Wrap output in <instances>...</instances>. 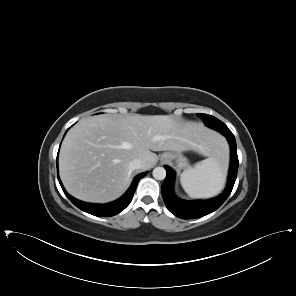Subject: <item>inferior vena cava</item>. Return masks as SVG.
Wrapping results in <instances>:
<instances>
[{"label": "inferior vena cava", "mask_w": 296, "mask_h": 296, "mask_svg": "<svg viewBox=\"0 0 296 296\" xmlns=\"http://www.w3.org/2000/svg\"><path fill=\"white\" fill-rule=\"evenodd\" d=\"M142 160L141 159H134L129 163V169L130 170H136L142 168Z\"/></svg>", "instance_id": "602c4592"}]
</instances>
